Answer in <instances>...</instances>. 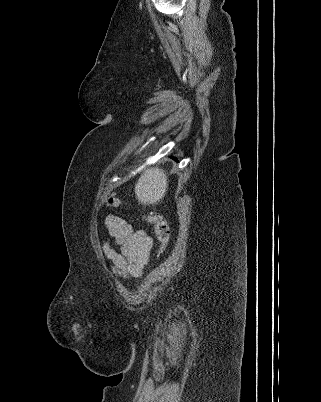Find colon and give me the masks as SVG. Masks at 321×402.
Returning <instances> with one entry per match:
<instances>
[{"instance_id": "5ec220e1", "label": "colon", "mask_w": 321, "mask_h": 402, "mask_svg": "<svg viewBox=\"0 0 321 402\" xmlns=\"http://www.w3.org/2000/svg\"><path fill=\"white\" fill-rule=\"evenodd\" d=\"M107 204L112 207H120L122 201L119 197L111 195L107 199ZM144 220L153 225L157 240L159 242V255H162L170 241V231L166 220L158 213L149 212L144 215Z\"/></svg>"}]
</instances>
